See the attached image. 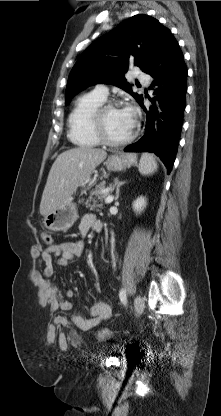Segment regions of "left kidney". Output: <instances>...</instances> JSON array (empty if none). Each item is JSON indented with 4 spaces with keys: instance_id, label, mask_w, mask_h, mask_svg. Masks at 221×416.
Instances as JSON below:
<instances>
[{
    "instance_id": "left-kidney-1",
    "label": "left kidney",
    "mask_w": 221,
    "mask_h": 416,
    "mask_svg": "<svg viewBox=\"0 0 221 416\" xmlns=\"http://www.w3.org/2000/svg\"><path fill=\"white\" fill-rule=\"evenodd\" d=\"M146 199L144 198V197H139V198H137L134 202H133V205H132V207H133V210L136 212V213H140V212H142L143 210H144V208L146 207Z\"/></svg>"
}]
</instances>
